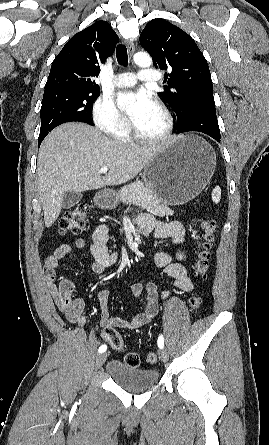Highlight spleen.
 <instances>
[{
  "mask_svg": "<svg viewBox=\"0 0 269 445\" xmlns=\"http://www.w3.org/2000/svg\"><path fill=\"white\" fill-rule=\"evenodd\" d=\"M212 201L215 204H218L221 199V188L219 186H216L212 191Z\"/></svg>",
  "mask_w": 269,
  "mask_h": 445,
  "instance_id": "3e777b00",
  "label": "spleen"
}]
</instances>
